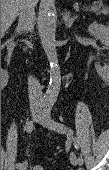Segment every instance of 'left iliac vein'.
Here are the masks:
<instances>
[{
  "label": "left iliac vein",
  "instance_id": "left-iliac-vein-1",
  "mask_svg": "<svg viewBox=\"0 0 109 170\" xmlns=\"http://www.w3.org/2000/svg\"><path fill=\"white\" fill-rule=\"evenodd\" d=\"M36 121L38 123H40L41 125L49 128V129H52L56 132H59L61 134H65L66 131L63 127L57 125V124H54L50 118L48 116L45 115V113H40L36 119ZM70 162L72 163V165L76 166V165H81L76 157V155L74 153H71L70 154Z\"/></svg>",
  "mask_w": 109,
  "mask_h": 170
}]
</instances>
